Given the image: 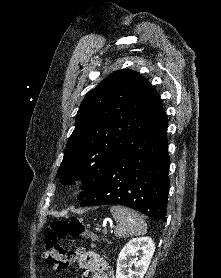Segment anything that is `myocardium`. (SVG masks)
Here are the masks:
<instances>
[{"mask_svg":"<svg viewBox=\"0 0 221 278\" xmlns=\"http://www.w3.org/2000/svg\"><path fill=\"white\" fill-rule=\"evenodd\" d=\"M82 184V179H76L74 182L75 187H79Z\"/></svg>","mask_w":221,"mask_h":278,"instance_id":"1","label":"myocardium"}]
</instances>
